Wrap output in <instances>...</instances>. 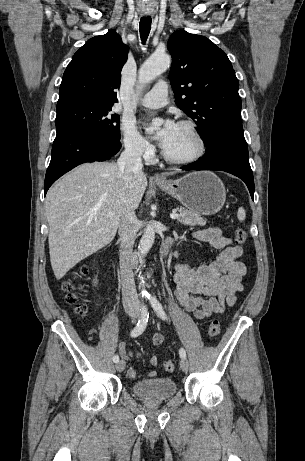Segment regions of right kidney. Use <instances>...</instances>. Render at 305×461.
Segmentation results:
<instances>
[{"instance_id":"obj_1","label":"right kidney","mask_w":305,"mask_h":461,"mask_svg":"<svg viewBox=\"0 0 305 461\" xmlns=\"http://www.w3.org/2000/svg\"><path fill=\"white\" fill-rule=\"evenodd\" d=\"M97 284H98V281H97V279L95 278V279L93 280V285L96 286Z\"/></svg>"}]
</instances>
